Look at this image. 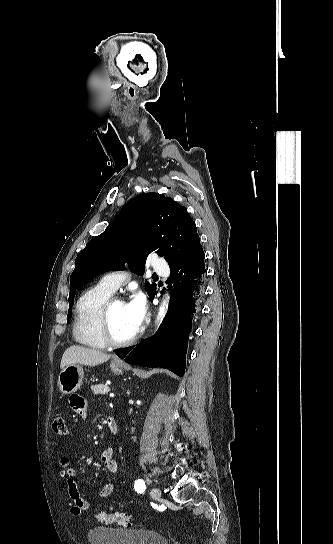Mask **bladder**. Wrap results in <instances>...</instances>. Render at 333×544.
Returning a JSON list of instances; mask_svg holds the SVG:
<instances>
[{
	"instance_id": "bladder-1",
	"label": "bladder",
	"mask_w": 333,
	"mask_h": 544,
	"mask_svg": "<svg viewBox=\"0 0 333 544\" xmlns=\"http://www.w3.org/2000/svg\"><path fill=\"white\" fill-rule=\"evenodd\" d=\"M90 544H169L160 533L147 529L98 526L87 533Z\"/></svg>"
}]
</instances>
